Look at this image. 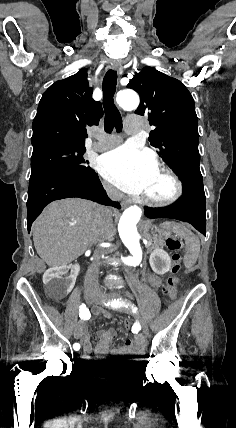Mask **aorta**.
<instances>
[{
    "label": "aorta",
    "mask_w": 236,
    "mask_h": 428,
    "mask_svg": "<svg viewBox=\"0 0 236 428\" xmlns=\"http://www.w3.org/2000/svg\"><path fill=\"white\" fill-rule=\"evenodd\" d=\"M116 101L125 110H134L139 105V96L133 90H122L117 93ZM142 215L140 207L134 205L127 208L118 223V232L123 244L129 250L130 255L122 257V262L131 267L138 266L143 258L140 244V235L137 231V223Z\"/></svg>",
    "instance_id": "1"
}]
</instances>
